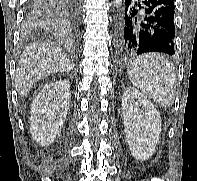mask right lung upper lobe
<instances>
[{
	"label": "right lung upper lobe",
	"instance_id": "1",
	"mask_svg": "<svg viewBox=\"0 0 197 181\" xmlns=\"http://www.w3.org/2000/svg\"><path fill=\"white\" fill-rule=\"evenodd\" d=\"M33 27H36V28H43V29H49V28H44V27H39V26H33Z\"/></svg>",
	"mask_w": 197,
	"mask_h": 181
}]
</instances>
